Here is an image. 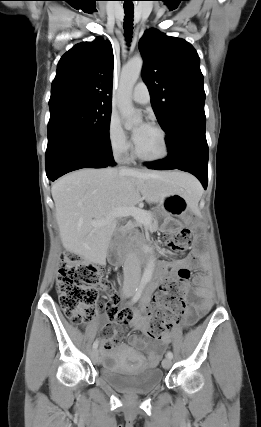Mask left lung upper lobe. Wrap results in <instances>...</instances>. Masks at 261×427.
<instances>
[{
  "label": "left lung upper lobe",
  "mask_w": 261,
  "mask_h": 427,
  "mask_svg": "<svg viewBox=\"0 0 261 427\" xmlns=\"http://www.w3.org/2000/svg\"><path fill=\"white\" fill-rule=\"evenodd\" d=\"M139 50L152 108L165 131L185 113L205 114L200 58L190 43L152 29L140 40Z\"/></svg>",
  "instance_id": "obj_1"
}]
</instances>
